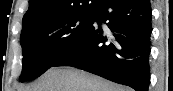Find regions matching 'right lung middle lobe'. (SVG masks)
Listing matches in <instances>:
<instances>
[{"instance_id":"1","label":"right lung middle lobe","mask_w":173,"mask_h":91,"mask_svg":"<svg viewBox=\"0 0 173 91\" xmlns=\"http://www.w3.org/2000/svg\"><path fill=\"white\" fill-rule=\"evenodd\" d=\"M94 9L67 14L22 29L23 68L20 81L39 77L84 36Z\"/></svg>"}]
</instances>
